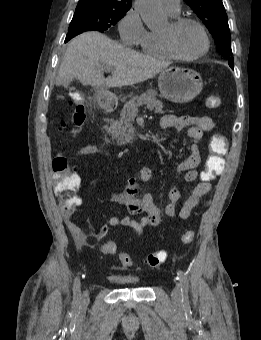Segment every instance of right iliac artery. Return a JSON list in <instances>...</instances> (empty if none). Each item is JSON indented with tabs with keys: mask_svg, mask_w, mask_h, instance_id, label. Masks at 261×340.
Returning a JSON list of instances; mask_svg holds the SVG:
<instances>
[{
	"mask_svg": "<svg viewBox=\"0 0 261 340\" xmlns=\"http://www.w3.org/2000/svg\"><path fill=\"white\" fill-rule=\"evenodd\" d=\"M74 290H75V297H74L73 304H74L75 308H79L80 307V302H81V298H80V279H79V277H76V279H75Z\"/></svg>",
	"mask_w": 261,
	"mask_h": 340,
	"instance_id": "82829eb1",
	"label": "right iliac artery"
}]
</instances>
